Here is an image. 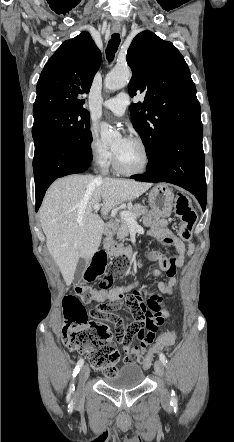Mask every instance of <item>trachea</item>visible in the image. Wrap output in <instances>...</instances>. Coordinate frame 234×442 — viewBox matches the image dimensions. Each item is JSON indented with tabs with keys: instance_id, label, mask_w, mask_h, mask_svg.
Returning a JSON list of instances; mask_svg holds the SVG:
<instances>
[{
	"instance_id": "3493384b",
	"label": "trachea",
	"mask_w": 234,
	"mask_h": 442,
	"mask_svg": "<svg viewBox=\"0 0 234 442\" xmlns=\"http://www.w3.org/2000/svg\"><path fill=\"white\" fill-rule=\"evenodd\" d=\"M119 44H120V35L118 33L112 34L111 39L109 40L108 46L106 48V57L109 62L113 61L115 53L118 50Z\"/></svg>"
}]
</instances>
